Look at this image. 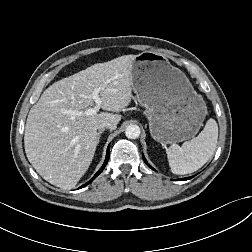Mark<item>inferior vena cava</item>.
<instances>
[{
  "label": "inferior vena cava",
  "instance_id": "inferior-vena-cava-1",
  "mask_svg": "<svg viewBox=\"0 0 252 252\" xmlns=\"http://www.w3.org/2000/svg\"><path fill=\"white\" fill-rule=\"evenodd\" d=\"M103 128H111V129H114V128H116V125L113 124V123H111V122L104 121V122H102V123H100V124L98 125V129H99V130H101V129H103Z\"/></svg>",
  "mask_w": 252,
  "mask_h": 252
}]
</instances>
